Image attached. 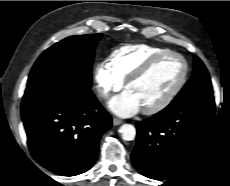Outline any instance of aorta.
<instances>
[{
    "label": "aorta",
    "mask_w": 230,
    "mask_h": 186,
    "mask_svg": "<svg viewBox=\"0 0 230 186\" xmlns=\"http://www.w3.org/2000/svg\"><path fill=\"white\" fill-rule=\"evenodd\" d=\"M119 132L124 140L130 141L133 140L136 136V129L131 124H123Z\"/></svg>",
    "instance_id": "1"
}]
</instances>
